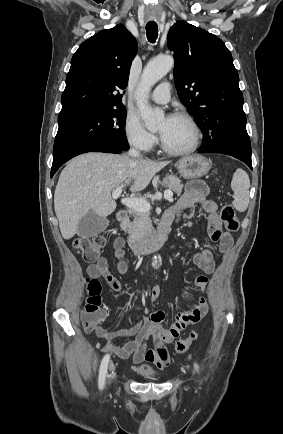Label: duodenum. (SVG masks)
<instances>
[{
    "instance_id": "1",
    "label": "duodenum",
    "mask_w": 283,
    "mask_h": 434,
    "mask_svg": "<svg viewBox=\"0 0 283 434\" xmlns=\"http://www.w3.org/2000/svg\"><path fill=\"white\" fill-rule=\"evenodd\" d=\"M117 220L121 224H125L128 220V212L126 209H121L117 212ZM170 222L162 220L156 233L144 241H139L134 238L129 239L130 246L133 252L137 255H148L160 248L167 240L170 229Z\"/></svg>"
}]
</instances>
